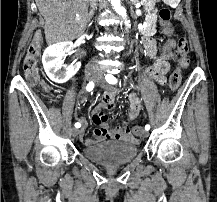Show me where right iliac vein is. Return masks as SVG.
Listing matches in <instances>:
<instances>
[{"label":"right iliac vein","mask_w":217,"mask_h":202,"mask_svg":"<svg viewBox=\"0 0 217 202\" xmlns=\"http://www.w3.org/2000/svg\"><path fill=\"white\" fill-rule=\"evenodd\" d=\"M85 78L88 81H93L95 79V76L93 74H91V73H87L85 75ZM71 132H72L73 137H76V136L79 135V130H77L76 128H72Z\"/></svg>","instance_id":"obj_1"}]
</instances>
